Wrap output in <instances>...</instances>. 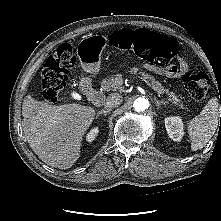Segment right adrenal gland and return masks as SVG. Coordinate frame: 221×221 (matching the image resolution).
I'll use <instances>...</instances> for the list:
<instances>
[{
    "instance_id": "right-adrenal-gland-1",
    "label": "right adrenal gland",
    "mask_w": 221,
    "mask_h": 221,
    "mask_svg": "<svg viewBox=\"0 0 221 221\" xmlns=\"http://www.w3.org/2000/svg\"><path fill=\"white\" fill-rule=\"evenodd\" d=\"M108 113H109V111L102 110V111L98 112L96 119H98V117L101 115H103V117H105Z\"/></svg>"
}]
</instances>
